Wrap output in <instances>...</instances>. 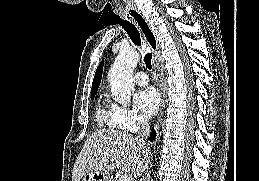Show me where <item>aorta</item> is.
<instances>
[{
    "mask_svg": "<svg viewBox=\"0 0 259 181\" xmlns=\"http://www.w3.org/2000/svg\"><path fill=\"white\" fill-rule=\"evenodd\" d=\"M139 58L137 50L122 48L108 73L112 97L124 107L129 106L131 101V93L134 91L132 75Z\"/></svg>",
    "mask_w": 259,
    "mask_h": 181,
    "instance_id": "obj_1",
    "label": "aorta"
}]
</instances>
